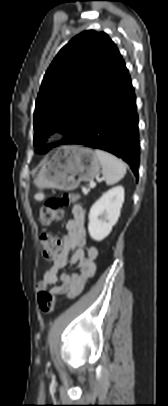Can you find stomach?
Segmentation results:
<instances>
[{
  "label": "stomach",
  "instance_id": "stomach-1",
  "mask_svg": "<svg viewBox=\"0 0 168 406\" xmlns=\"http://www.w3.org/2000/svg\"><path fill=\"white\" fill-rule=\"evenodd\" d=\"M100 173V161L90 148L63 146L42 166L34 184L40 188L71 191Z\"/></svg>",
  "mask_w": 168,
  "mask_h": 406
}]
</instances>
